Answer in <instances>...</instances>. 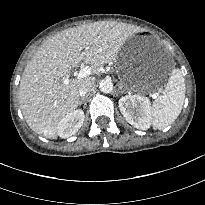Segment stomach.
<instances>
[{"label":"stomach","instance_id":"0dacf381","mask_svg":"<svg viewBox=\"0 0 205 205\" xmlns=\"http://www.w3.org/2000/svg\"><path fill=\"white\" fill-rule=\"evenodd\" d=\"M117 66L122 81L130 90L152 92L162 85V81H153V77L144 74L146 67L158 66L161 69L167 60L156 38L144 33L130 37L120 48Z\"/></svg>","mask_w":205,"mask_h":205}]
</instances>
